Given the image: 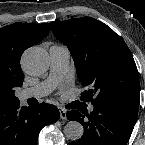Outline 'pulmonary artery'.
<instances>
[{"label": "pulmonary artery", "instance_id": "e3ab8cb5", "mask_svg": "<svg viewBox=\"0 0 145 145\" xmlns=\"http://www.w3.org/2000/svg\"><path fill=\"white\" fill-rule=\"evenodd\" d=\"M50 53V73L46 80L35 86L21 91L20 98L27 100L29 98H42L50 94L57 84L62 81L68 70L70 51L66 46L53 45L49 49ZM90 110L93 107L90 106Z\"/></svg>", "mask_w": 145, "mask_h": 145}]
</instances>
